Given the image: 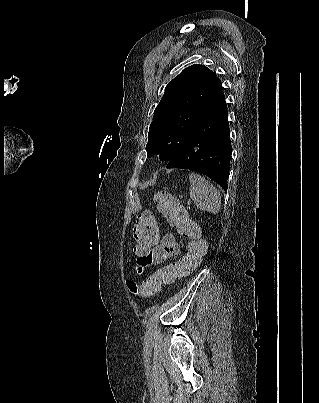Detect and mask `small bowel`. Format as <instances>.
<instances>
[{"instance_id":"1","label":"small bowel","mask_w":319,"mask_h":403,"mask_svg":"<svg viewBox=\"0 0 319 403\" xmlns=\"http://www.w3.org/2000/svg\"><path fill=\"white\" fill-rule=\"evenodd\" d=\"M181 252V246L176 241L175 237L168 234L161 239L157 247H151V250L141 252L138 258V264L142 266L144 270H147L149 267L161 264L167 259L179 256ZM138 271H141V268H138ZM132 280H136V277H132Z\"/></svg>"}]
</instances>
